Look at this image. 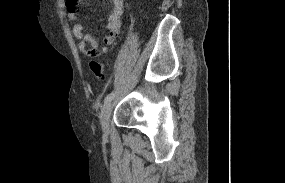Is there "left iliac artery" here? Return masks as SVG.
I'll return each instance as SVG.
<instances>
[{
	"mask_svg": "<svg viewBox=\"0 0 285 183\" xmlns=\"http://www.w3.org/2000/svg\"><path fill=\"white\" fill-rule=\"evenodd\" d=\"M114 97H115V93H114V92H111V93H109V94L105 97L104 102L107 103V102H109L110 100H112Z\"/></svg>",
	"mask_w": 285,
	"mask_h": 183,
	"instance_id": "1",
	"label": "left iliac artery"
}]
</instances>
